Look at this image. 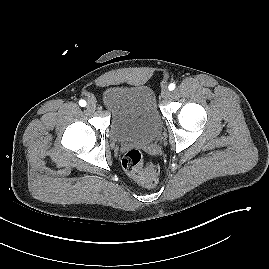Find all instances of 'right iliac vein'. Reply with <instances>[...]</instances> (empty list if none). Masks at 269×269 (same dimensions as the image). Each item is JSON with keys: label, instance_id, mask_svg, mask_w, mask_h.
<instances>
[{"label": "right iliac vein", "instance_id": "obj_1", "mask_svg": "<svg viewBox=\"0 0 269 269\" xmlns=\"http://www.w3.org/2000/svg\"><path fill=\"white\" fill-rule=\"evenodd\" d=\"M89 111H94L96 109V104L93 101H89L86 107Z\"/></svg>", "mask_w": 269, "mask_h": 269}]
</instances>
